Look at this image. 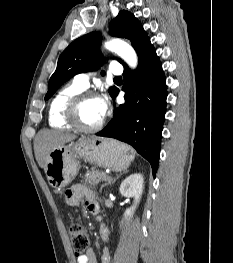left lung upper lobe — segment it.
I'll return each mask as SVG.
<instances>
[{
	"mask_svg": "<svg viewBox=\"0 0 233 263\" xmlns=\"http://www.w3.org/2000/svg\"><path fill=\"white\" fill-rule=\"evenodd\" d=\"M109 33L112 36L129 39L137 55L150 42L140 22L126 10L120 11L112 21ZM101 39L100 33L92 32L79 37L63 51L59 57L57 68L49 80L45 100H48L63 83L76 74L99 68L104 62L99 50ZM118 61L123 66L126 65L121 59ZM101 74L104 75V72L102 71ZM116 90V87H111L109 94L112 96Z\"/></svg>",
	"mask_w": 233,
	"mask_h": 263,
	"instance_id": "obj_1",
	"label": "left lung upper lobe"
}]
</instances>
